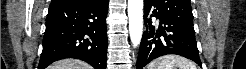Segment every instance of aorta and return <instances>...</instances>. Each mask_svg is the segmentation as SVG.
Listing matches in <instances>:
<instances>
[{
	"label": "aorta",
	"instance_id": "obj_1",
	"mask_svg": "<svg viewBox=\"0 0 246 69\" xmlns=\"http://www.w3.org/2000/svg\"><path fill=\"white\" fill-rule=\"evenodd\" d=\"M129 34L133 47L140 45L143 33V0H128Z\"/></svg>",
	"mask_w": 246,
	"mask_h": 69
}]
</instances>
